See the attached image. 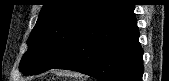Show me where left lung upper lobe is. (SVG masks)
Segmentation results:
<instances>
[{"instance_id":"5c2ea615","label":"left lung upper lobe","mask_w":169,"mask_h":81,"mask_svg":"<svg viewBox=\"0 0 169 81\" xmlns=\"http://www.w3.org/2000/svg\"><path fill=\"white\" fill-rule=\"evenodd\" d=\"M116 0H48L28 38L19 69L36 75L52 69L71 50L80 33Z\"/></svg>"}]
</instances>
